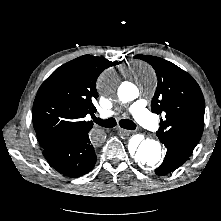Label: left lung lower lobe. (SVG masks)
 <instances>
[{"instance_id": "obj_1", "label": "left lung lower lobe", "mask_w": 221, "mask_h": 221, "mask_svg": "<svg viewBox=\"0 0 221 221\" xmlns=\"http://www.w3.org/2000/svg\"><path fill=\"white\" fill-rule=\"evenodd\" d=\"M167 148V153L163 163L155 170L157 175L163 176L180 167L192 154L193 148L173 142L170 140L162 141Z\"/></svg>"}]
</instances>
